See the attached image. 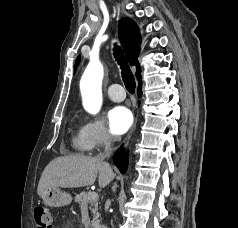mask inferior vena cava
<instances>
[{"label": "inferior vena cava", "instance_id": "obj_1", "mask_svg": "<svg viewBox=\"0 0 238 228\" xmlns=\"http://www.w3.org/2000/svg\"><path fill=\"white\" fill-rule=\"evenodd\" d=\"M112 140H113V137L108 134L107 135V138H106V141H105V149H104V153H100L98 155V157L100 159H105L106 157H109L110 154H111V151H112V147H111V144H112Z\"/></svg>", "mask_w": 238, "mask_h": 228}]
</instances>
